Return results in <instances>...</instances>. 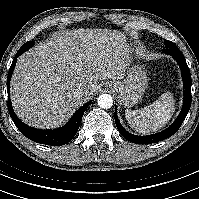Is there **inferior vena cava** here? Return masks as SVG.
I'll return each mask as SVG.
<instances>
[{
    "label": "inferior vena cava",
    "instance_id": "obj_1",
    "mask_svg": "<svg viewBox=\"0 0 199 199\" xmlns=\"http://www.w3.org/2000/svg\"><path fill=\"white\" fill-rule=\"evenodd\" d=\"M84 95V89L83 88H77L74 92V96L77 98H81Z\"/></svg>",
    "mask_w": 199,
    "mask_h": 199
}]
</instances>
